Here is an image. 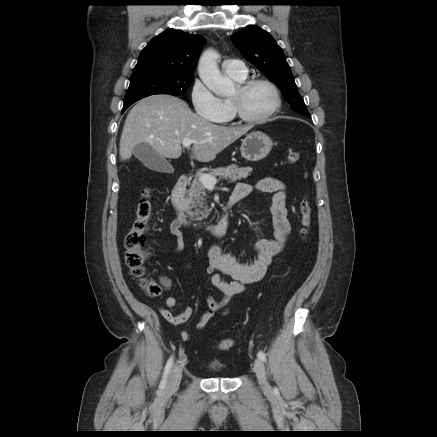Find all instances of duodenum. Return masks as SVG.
Instances as JSON below:
<instances>
[{
  "mask_svg": "<svg viewBox=\"0 0 437 437\" xmlns=\"http://www.w3.org/2000/svg\"><path fill=\"white\" fill-rule=\"evenodd\" d=\"M190 177L187 174H182L175 186L172 189L171 193V203L172 206L176 212V218L179 220L181 225L183 226H196V224H193L186 213L185 203H184V194L186 191V188L189 184ZM238 201V198L235 196H231L227 205L226 210L219 219V221L216 224L213 225H207L203 226V228L210 233L211 235L215 237H221L226 234L228 227H229V216L228 211L229 209L235 205ZM198 227V225H197ZM200 227V226H199Z\"/></svg>",
  "mask_w": 437,
  "mask_h": 437,
  "instance_id": "duodenum-1",
  "label": "duodenum"
}]
</instances>
